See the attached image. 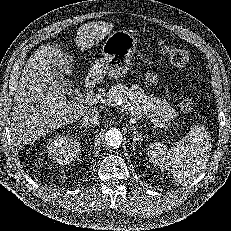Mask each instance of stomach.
I'll use <instances>...</instances> for the list:
<instances>
[{
    "mask_svg": "<svg viewBox=\"0 0 231 231\" xmlns=\"http://www.w3.org/2000/svg\"><path fill=\"white\" fill-rule=\"evenodd\" d=\"M137 39L128 31H115L102 45V58L95 60L89 70V78L99 81L106 75L122 78L127 73L136 51Z\"/></svg>",
    "mask_w": 231,
    "mask_h": 231,
    "instance_id": "obj_1",
    "label": "stomach"
}]
</instances>
